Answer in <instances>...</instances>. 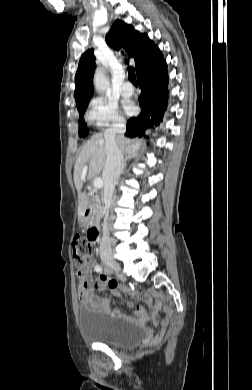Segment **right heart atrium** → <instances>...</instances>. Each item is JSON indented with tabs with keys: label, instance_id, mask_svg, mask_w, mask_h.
Listing matches in <instances>:
<instances>
[{
	"label": "right heart atrium",
	"instance_id": "d8ad5b80",
	"mask_svg": "<svg viewBox=\"0 0 252 390\" xmlns=\"http://www.w3.org/2000/svg\"><path fill=\"white\" fill-rule=\"evenodd\" d=\"M87 120L99 129L121 127L124 124V118L117 104L102 97H96L90 101Z\"/></svg>",
	"mask_w": 252,
	"mask_h": 390
}]
</instances>
